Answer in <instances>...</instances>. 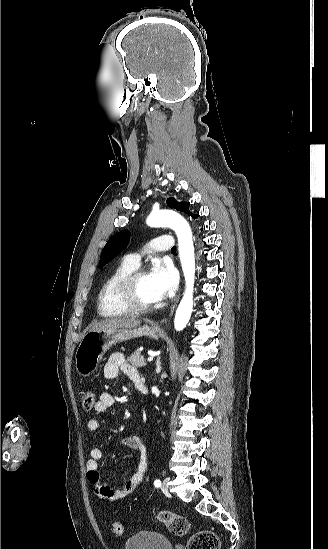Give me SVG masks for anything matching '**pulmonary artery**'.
Here are the masks:
<instances>
[{
    "mask_svg": "<svg viewBox=\"0 0 328 549\" xmlns=\"http://www.w3.org/2000/svg\"><path fill=\"white\" fill-rule=\"evenodd\" d=\"M174 239L172 237H154L145 247L150 252H164L174 246ZM136 254L132 255L134 261H139L140 257L144 256L146 250L144 247L139 246L135 250Z\"/></svg>",
    "mask_w": 328,
    "mask_h": 549,
    "instance_id": "obj_1",
    "label": "pulmonary artery"
}]
</instances>
